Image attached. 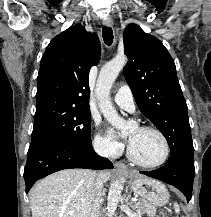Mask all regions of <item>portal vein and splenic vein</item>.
Wrapping results in <instances>:
<instances>
[{
  "instance_id": "18ae733b",
  "label": "portal vein and splenic vein",
  "mask_w": 211,
  "mask_h": 217,
  "mask_svg": "<svg viewBox=\"0 0 211 217\" xmlns=\"http://www.w3.org/2000/svg\"><path fill=\"white\" fill-rule=\"evenodd\" d=\"M132 201H133V202H136V201H137V199H136V198H132Z\"/></svg>"
}]
</instances>
